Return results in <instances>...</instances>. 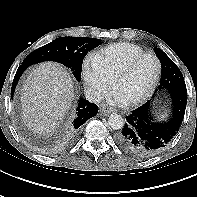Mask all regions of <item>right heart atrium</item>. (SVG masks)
<instances>
[{"label": "right heart atrium", "mask_w": 197, "mask_h": 197, "mask_svg": "<svg viewBox=\"0 0 197 197\" xmlns=\"http://www.w3.org/2000/svg\"><path fill=\"white\" fill-rule=\"evenodd\" d=\"M82 74L87 92L94 100L103 98L113 86V79L94 66L91 60L85 62Z\"/></svg>", "instance_id": "obj_1"}]
</instances>
